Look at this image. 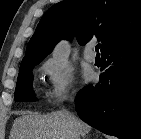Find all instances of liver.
<instances>
[{"mask_svg":"<svg viewBox=\"0 0 141 139\" xmlns=\"http://www.w3.org/2000/svg\"><path fill=\"white\" fill-rule=\"evenodd\" d=\"M91 127L82 120L70 118L67 112L56 111L46 115L23 112L16 118L10 139H79L89 133Z\"/></svg>","mask_w":141,"mask_h":139,"instance_id":"6515ba94","label":"liver"}]
</instances>
